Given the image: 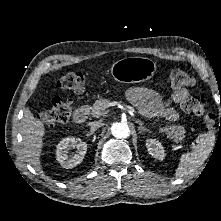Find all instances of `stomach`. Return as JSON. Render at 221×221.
Wrapping results in <instances>:
<instances>
[{
  "mask_svg": "<svg viewBox=\"0 0 221 221\" xmlns=\"http://www.w3.org/2000/svg\"><path fill=\"white\" fill-rule=\"evenodd\" d=\"M156 63L144 57H129L116 61L111 68L114 79L120 83L144 82L154 76Z\"/></svg>",
  "mask_w": 221,
  "mask_h": 221,
  "instance_id": "obj_1",
  "label": "stomach"
}]
</instances>
